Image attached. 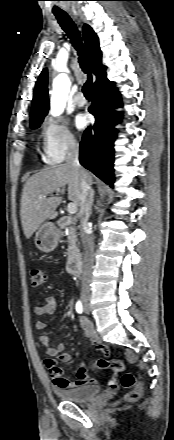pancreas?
<instances>
[{
	"instance_id": "cf45deb5",
	"label": "pancreas",
	"mask_w": 174,
	"mask_h": 440,
	"mask_svg": "<svg viewBox=\"0 0 174 440\" xmlns=\"http://www.w3.org/2000/svg\"><path fill=\"white\" fill-rule=\"evenodd\" d=\"M62 234L63 235L65 234L67 236L68 257L71 258L73 256H76L79 252L78 247L76 245V243H77V229H76V227L70 226Z\"/></svg>"
}]
</instances>
